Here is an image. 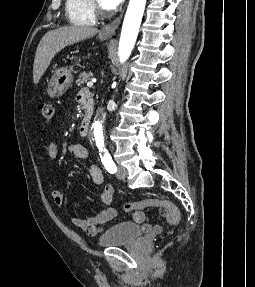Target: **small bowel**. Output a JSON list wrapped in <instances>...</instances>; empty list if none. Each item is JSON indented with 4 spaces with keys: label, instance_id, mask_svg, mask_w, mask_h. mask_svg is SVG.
<instances>
[{
    "label": "small bowel",
    "instance_id": "small-bowel-1",
    "mask_svg": "<svg viewBox=\"0 0 255 287\" xmlns=\"http://www.w3.org/2000/svg\"><path fill=\"white\" fill-rule=\"evenodd\" d=\"M68 152L74 157L87 161L89 165V175L92 182L95 185H102L104 176L102 170L91 162V157L88 149L80 143H71L67 147ZM47 155L50 160H55L58 155V146L55 142H50L47 146ZM52 199L55 205L62 206L64 202V195L60 190H53ZM114 197V188L112 185H105L100 193V200L102 203L109 205L112 203ZM118 214V209L113 206L105 207L98 211L94 216L88 219L73 218L72 223L74 226L81 228L89 235H97L102 232V225L113 220ZM159 215L162 217V223L151 225L145 222V214L142 211H135L132 214V220L134 223L142 225L145 231L153 233H161L164 230L166 224H170V217L165 209L159 211Z\"/></svg>",
    "mask_w": 255,
    "mask_h": 287
}]
</instances>
